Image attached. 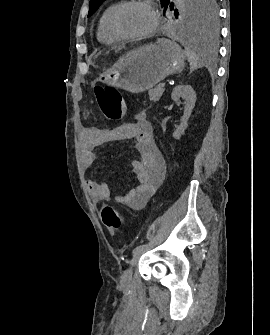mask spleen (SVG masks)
Here are the masks:
<instances>
[{"label": "spleen", "instance_id": "spleen-1", "mask_svg": "<svg viewBox=\"0 0 270 335\" xmlns=\"http://www.w3.org/2000/svg\"><path fill=\"white\" fill-rule=\"evenodd\" d=\"M200 44H194V46H185L186 48V56H188V60L190 62V70H196L200 64L203 62V56L201 50H199Z\"/></svg>", "mask_w": 270, "mask_h": 335}]
</instances>
